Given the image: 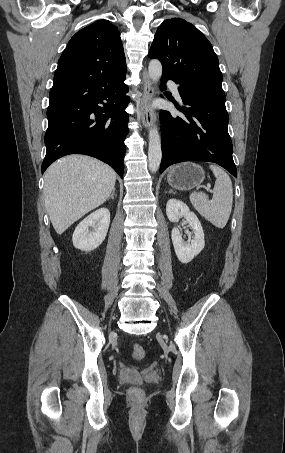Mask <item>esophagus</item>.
<instances>
[{"label": "esophagus", "mask_w": 285, "mask_h": 453, "mask_svg": "<svg viewBox=\"0 0 285 453\" xmlns=\"http://www.w3.org/2000/svg\"><path fill=\"white\" fill-rule=\"evenodd\" d=\"M142 79L143 94L139 102V119L144 128L148 129L152 125L150 101L153 96V88L146 69L143 70Z\"/></svg>", "instance_id": "1"}]
</instances>
